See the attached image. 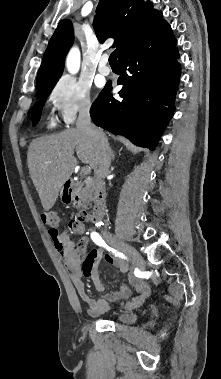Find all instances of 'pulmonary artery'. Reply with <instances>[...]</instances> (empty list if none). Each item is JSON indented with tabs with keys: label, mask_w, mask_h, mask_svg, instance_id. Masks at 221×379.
Masks as SVG:
<instances>
[{
	"label": "pulmonary artery",
	"mask_w": 221,
	"mask_h": 379,
	"mask_svg": "<svg viewBox=\"0 0 221 379\" xmlns=\"http://www.w3.org/2000/svg\"><path fill=\"white\" fill-rule=\"evenodd\" d=\"M108 63V56L107 55H103L101 58H100V61H99V65H98V72L102 75H109L111 73V69L110 67L107 65Z\"/></svg>",
	"instance_id": "pulmonary-artery-1"
}]
</instances>
